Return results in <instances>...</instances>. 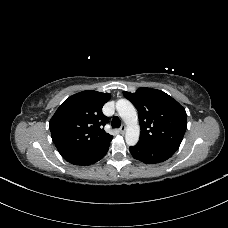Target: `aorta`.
<instances>
[{
    "label": "aorta",
    "mask_w": 228,
    "mask_h": 228,
    "mask_svg": "<svg viewBox=\"0 0 228 228\" xmlns=\"http://www.w3.org/2000/svg\"><path fill=\"white\" fill-rule=\"evenodd\" d=\"M116 109L126 124L125 140L129 146L137 144L140 135V126L138 123V115L135 107L130 101L120 99L116 102Z\"/></svg>",
    "instance_id": "obj_1"
}]
</instances>
